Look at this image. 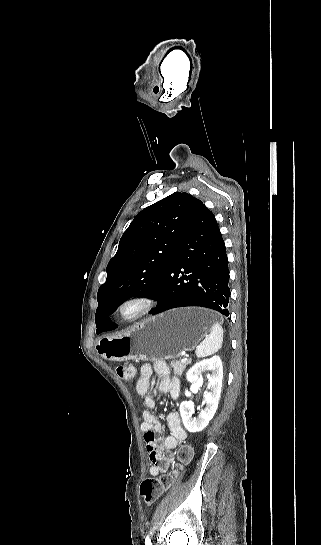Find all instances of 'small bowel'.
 <instances>
[{
	"label": "small bowel",
	"mask_w": 321,
	"mask_h": 545,
	"mask_svg": "<svg viewBox=\"0 0 321 545\" xmlns=\"http://www.w3.org/2000/svg\"><path fill=\"white\" fill-rule=\"evenodd\" d=\"M154 376H158L157 389L161 393L168 394L172 399H177L180 393V382L177 378L170 375V370L165 362L156 361L152 365L145 364L141 368L140 377L136 383L137 393L143 397L146 410L142 413L143 423L141 430L143 432L146 450L151 462L150 474L157 476L166 472L170 464L175 460V449L186 439L179 414L172 411L167 416L169 435L159 436L161 424L152 410L156 406V401L149 394L150 382Z\"/></svg>",
	"instance_id": "obj_1"
}]
</instances>
